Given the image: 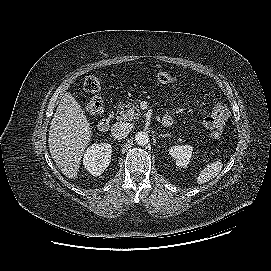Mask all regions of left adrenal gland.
<instances>
[{
	"label": "left adrenal gland",
	"mask_w": 271,
	"mask_h": 271,
	"mask_svg": "<svg viewBox=\"0 0 271 271\" xmlns=\"http://www.w3.org/2000/svg\"><path fill=\"white\" fill-rule=\"evenodd\" d=\"M159 137H170L169 134H160Z\"/></svg>",
	"instance_id": "obj_1"
}]
</instances>
